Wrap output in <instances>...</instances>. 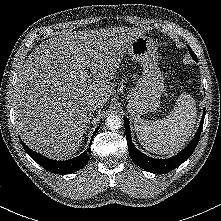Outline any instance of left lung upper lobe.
Masks as SVG:
<instances>
[{
  "mask_svg": "<svg viewBox=\"0 0 221 221\" xmlns=\"http://www.w3.org/2000/svg\"><path fill=\"white\" fill-rule=\"evenodd\" d=\"M188 49H189V52H190L192 58H193L195 61H198V60H197V57H196V55H195V53L191 50L190 46H188Z\"/></svg>",
  "mask_w": 221,
  "mask_h": 221,
  "instance_id": "left-lung-upper-lobe-1",
  "label": "left lung upper lobe"
}]
</instances>
